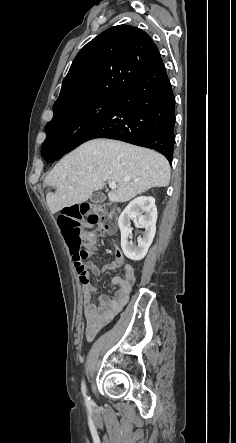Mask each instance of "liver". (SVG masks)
Segmentation results:
<instances>
[{
    "label": "liver",
    "instance_id": "6515ba94",
    "mask_svg": "<svg viewBox=\"0 0 236 443\" xmlns=\"http://www.w3.org/2000/svg\"><path fill=\"white\" fill-rule=\"evenodd\" d=\"M116 182L110 202H127L170 181L167 159L153 150L110 139L90 140L66 155L45 178L47 205L52 214L87 201L92 193Z\"/></svg>",
    "mask_w": 236,
    "mask_h": 443
}]
</instances>
